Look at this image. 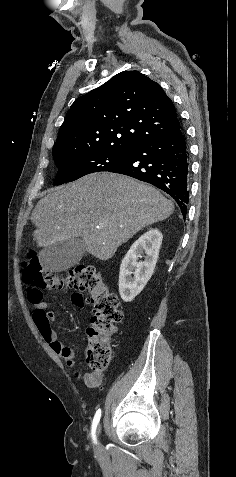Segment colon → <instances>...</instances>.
I'll return each mask as SVG.
<instances>
[{
	"mask_svg": "<svg viewBox=\"0 0 236 477\" xmlns=\"http://www.w3.org/2000/svg\"><path fill=\"white\" fill-rule=\"evenodd\" d=\"M22 274L30 302L40 301L42 292L48 289L71 288L89 294L94 311L87 332L86 363L93 372L105 371L113 357L110 337L123 313L118 297L105 284L100 271L92 265L78 264L65 275L52 273L43 268L36 254L31 253Z\"/></svg>",
	"mask_w": 236,
	"mask_h": 477,
	"instance_id": "5ec220e1",
	"label": "colon"
}]
</instances>
